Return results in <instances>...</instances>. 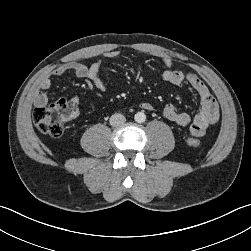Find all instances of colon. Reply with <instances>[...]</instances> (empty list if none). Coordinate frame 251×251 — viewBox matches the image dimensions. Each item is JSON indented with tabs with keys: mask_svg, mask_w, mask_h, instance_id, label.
<instances>
[{
	"mask_svg": "<svg viewBox=\"0 0 251 251\" xmlns=\"http://www.w3.org/2000/svg\"><path fill=\"white\" fill-rule=\"evenodd\" d=\"M76 114L77 107L74 104L60 99L51 104L38 105L33 113V121L40 132L52 137H59ZM189 143L194 147L200 146L197 139H190Z\"/></svg>",
	"mask_w": 251,
	"mask_h": 251,
	"instance_id": "colon-1",
	"label": "colon"
}]
</instances>
